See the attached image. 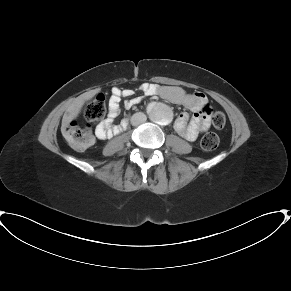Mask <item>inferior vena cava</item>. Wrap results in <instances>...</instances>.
<instances>
[{"label": "inferior vena cava", "instance_id": "602c4592", "mask_svg": "<svg viewBox=\"0 0 291 291\" xmlns=\"http://www.w3.org/2000/svg\"><path fill=\"white\" fill-rule=\"evenodd\" d=\"M146 120H147L146 115L144 113H142V112H138V113H135V114L132 115L131 124L133 126H138V125L146 122Z\"/></svg>", "mask_w": 291, "mask_h": 291}]
</instances>
